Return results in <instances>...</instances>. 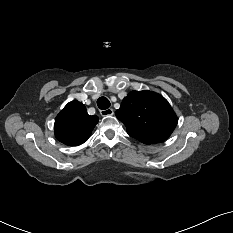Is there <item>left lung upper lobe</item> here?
Instances as JSON below:
<instances>
[{
    "mask_svg": "<svg viewBox=\"0 0 233 233\" xmlns=\"http://www.w3.org/2000/svg\"><path fill=\"white\" fill-rule=\"evenodd\" d=\"M116 116L130 136L145 144L164 141L178 122L168 101L148 90L130 92L123 99Z\"/></svg>",
    "mask_w": 233,
    "mask_h": 233,
    "instance_id": "left-lung-upper-lobe-1",
    "label": "left lung upper lobe"
}]
</instances>
